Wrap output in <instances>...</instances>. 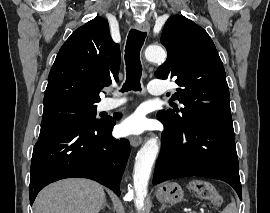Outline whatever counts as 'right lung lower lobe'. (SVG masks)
Masks as SVG:
<instances>
[{"mask_svg": "<svg viewBox=\"0 0 270 213\" xmlns=\"http://www.w3.org/2000/svg\"><path fill=\"white\" fill-rule=\"evenodd\" d=\"M114 125V119L97 125L64 119L42 121L31 161L30 203L46 185L70 177L95 180L120 195L130 149L127 139L113 138Z\"/></svg>", "mask_w": 270, "mask_h": 213, "instance_id": "98d812e1", "label": "right lung lower lobe"}]
</instances>
